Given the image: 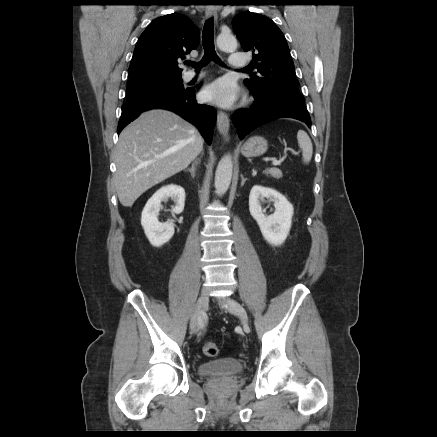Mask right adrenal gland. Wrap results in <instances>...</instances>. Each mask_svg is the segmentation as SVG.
Here are the masks:
<instances>
[{
  "instance_id": "obj_1",
  "label": "right adrenal gland",
  "mask_w": 437,
  "mask_h": 437,
  "mask_svg": "<svg viewBox=\"0 0 437 437\" xmlns=\"http://www.w3.org/2000/svg\"><path fill=\"white\" fill-rule=\"evenodd\" d=\"M200 164V159L197 158L196 160L193 161L191 168H188L185 171L190 172L192 178H195V172H196V166Z\"/></svg>"
}]
</instances>
